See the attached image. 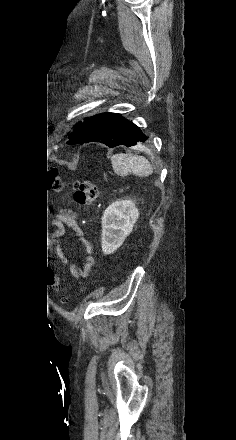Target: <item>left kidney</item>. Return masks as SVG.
<instances>
[{"instance_id": "left-kidney-1", "label": "left kidney", "mask_w": 236, "mask_h": 440, "mask_svg": "<svg viewBox=\"0 0 236 440\" xmlns=\"http://www.w3.org/2000/svg\"><path fill=\"white\" fill-rule=\"evenodd\" d=\"M139 217V211L131 200L112 203L102 216V251L105 255L114 253L132 232Z\"/></svg>"}]
</instances>
